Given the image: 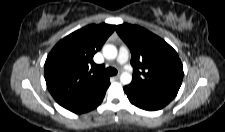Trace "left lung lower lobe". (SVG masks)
I'll list each match as a JSON object with an SVG mask.
<instances>
[{
  "instance_id": "0a47b994",
  "label": "left lung lower lobe",
  "mask_w": 225,
  "mask_h": 132,
  "mask_svg": "<svg viewBox=\"0 0 225 132\" xmlns=\"http://www.w3.org/2000/svg\"><path fill=\"white\" fill-rule=\"evenodd\" d=\"M124 91L132 104L148 111L159 110L165 107L174 98L159 93H145L129 85L124 87Z\"/></svg>"
}]
</instances>
